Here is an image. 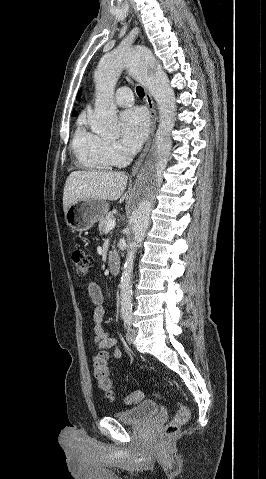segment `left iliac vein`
<instances>
[{"instance_id":"obj_1","label":"left iliac vein","mask_w":266,"mask_h":479,"mask_svg":"<svg viewBox=\"0 0 266 479\" xmlns=\"http://www.w3.org/2000/svg\"><path fill=\"white\" fill-rule=\"evenodd\" d=\"M137 336V330L134 328H129L126 333V340L129 344H132Z\"/></svg>"}]
</instances>
